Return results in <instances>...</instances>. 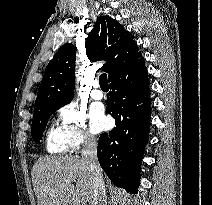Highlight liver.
<instances>
[{
  "label": "liver",
  "mask_w": 212,
  "mask_h": 205,
  "mask_svg": "<svg viewBox=\"0 0 212 205\" xmlns=\"http://www.w3.org/2000/svg\"><path fill=\"white\" fill-rule=\"evenodd\" d=\"M32 174L38 205L91 203L92 173L79 156L39 158Z\"/></svg>",
  "instance_id": "1"
}]
</instances>
